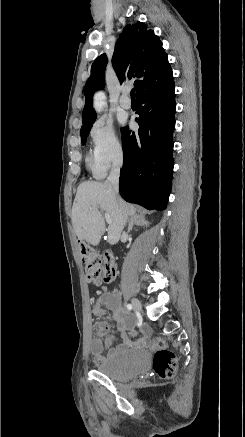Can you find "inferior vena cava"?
Returning <instances> with one entry per match:
<instances>
[{
	"label": "inferior vena cava",
	"instance_id": "inferior-vena-cava-1",
	"mask_svg": "<svg viewBox=\"0 0 245 437\" xmlns=\"http://www.w3.org/2000/svg\"><path fill=\"white\" fill-rule=\"evenodd\" d=\"M123 163L122 154H119L114 160L111 168V172L107 178V182L112 186L114 194H118L119 191V176L120 168Z\"/></svg>",
	"mask_w": 245,
	"mask_h": 437
}]
</instances>
